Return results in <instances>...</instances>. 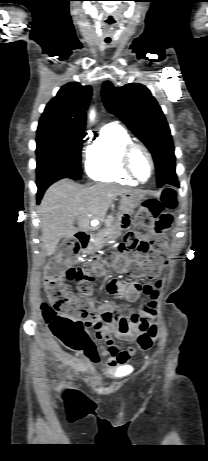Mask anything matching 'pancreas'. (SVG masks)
<instances>
[{"mask_svg":"<svg viewBox=\"0 0 208 461\" xmlns=\"http://www.w3.org/2000/svg\"><path fill=\"white\" fill-rule=\"evenodd\" d=\"M105 226L108 227L113 223V216L109 215L105 220H104Z\"/></svg>","mask_w":208,"mask_h":461,"instance_id":"cf45deb5","label":"pancreas"}]
</instances>
